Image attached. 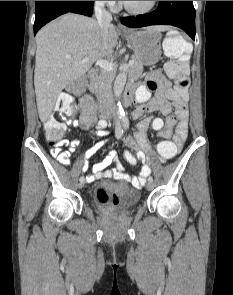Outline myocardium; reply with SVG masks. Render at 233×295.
I'll return each mask as SVG.
<instances>
[{"mask_svg":"<svg viewBox=\"0 0 233 295\" xmlns=\"http://www.w3.org/2000/svg\"><path fill=\"white\" fill-rule=\"evenodd\" d=\"M157 4H158V1H151L150 5L148 7L144 8V9L137 10V9H133V8L129 7L125 3V1H122V6L125 9V11L132 14V15H136V16L145 15V14L150 13L151 11L154 10V8L157 6Z\"/></svg>","mask_w":233,"mask_h":295,"instance_id":"myocardium-1","label":"myocardium"}]
</instances>
